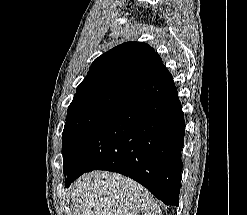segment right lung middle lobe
Returning <instances> with one entry per match:
<instances>
[{
    "instance_id": "obj_1",
    "label": "right lung middle lobe",
    "mask_w": 247,
    "mask_h": 215,
    "mask_svg": "<svg viewBox=\"0 0 247 215\" xmlns=\"http://www.w3.org/2000/svg\"><path fill=\"white\" fill-rule=\"evenodd\" d=\"M129 88H107L76 92L67 110L62 134L64 174L69 171L73 152L82 136L112 111L130 92Z\"/></svg>"
}]
</instances>
